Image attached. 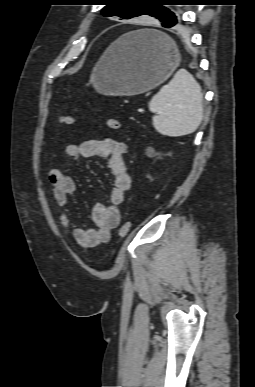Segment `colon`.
<instances>
[{"instance_id":"5ec220e1","label":"colon","mask_w":255,"mask_h":387,"mask_svg":"<svg viewBox=\"0 0 255 387\" xmlns=\"http://www.w3.org/2000/svg\"><path fill=\"white\" fill-rule=\"evenodd\" d=\"M63 122L66 124H71L73 122V119H72V117L66 116V117H63ZM105 124L109 129L114 130V131H117L121 128L120 121H118L117 119H114V118H108L105 121ZM130 229H131V224L129 222H125L119 227L118 235L120 237H126L128 235V233L130 232Z\"/></svg>"}]
</instances>
